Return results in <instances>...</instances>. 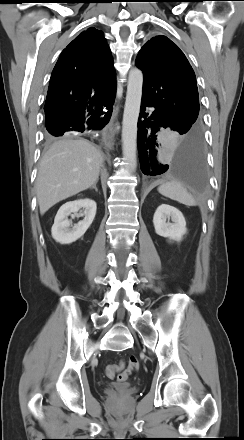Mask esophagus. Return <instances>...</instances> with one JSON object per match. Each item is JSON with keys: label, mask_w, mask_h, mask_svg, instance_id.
<instances>
[{"label": "esophagus", "mask_w": 244, "mask_h": 440, "mask_svg": "<svg viewBox=\"0 0 244 440\" xmlns=\"http://www.w3.org/2000/svg\"><path fill=\"white\" fill-rule=\"evenodd\" d=\"M116 112L114 111L110 124L108 125L104 135H105V143L109 148H112L114 145V120H115Z\"/></svg>", "instance_id": "obj_1"}]
</instances>
